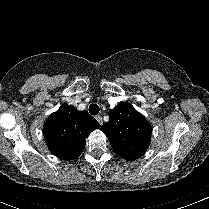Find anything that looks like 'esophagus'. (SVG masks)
<instances>
[{"label":"esophagus","mask_w":209,"mask_h":209,"mask_svg":"<svg viewBox=\"0 0 209 209\" xmlns=\"http://www.w3.org/2000/svg\"><path fill=\"white\" fill-rule=\"evenodd\" d=\"M96 119L98 120V122L102 125L103 124V119L100 115L96 116Z\"/></svg>","instance_id":"esophagus-1"}]
</instances>
